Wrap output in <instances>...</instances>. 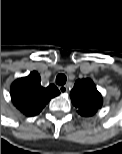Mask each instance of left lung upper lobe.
<instances>
[{
	"instance_id": "left-lung-upper-lobe-1",
	"label": "left lung upper lobe",
	"mask_w": 122,
	"mask_h": 154,
	"mask_svg": "<svg viewBox=\"0 0 122 154\" xmlns=\"http://www.w3.org/2000/svg\"><path fill=\"white\" fill-rule=\"evenodd\" d=\"M72 104L84 117L94 115L101 108L103 99L91 79H79L70 93Z\"/></svg>"
}]
</instances>
